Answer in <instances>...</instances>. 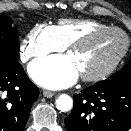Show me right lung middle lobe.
<instances>
[{
  "label": "right lung middle lobe",
  "mask_w": 131,
  "mask_h": 131,
  "mask_svg": "<svg viewBox=\"0 0 131 131\" xmlns=\"http://www.w3.org/2000/svg\"><path fill=\"white\" fill-rule=\"evenodd\" d=\"M20 44L17 30L12 20L0 15V68H8L18 63Z\"/></svg>",
  "instance_id": "1"
}]
</instances>
